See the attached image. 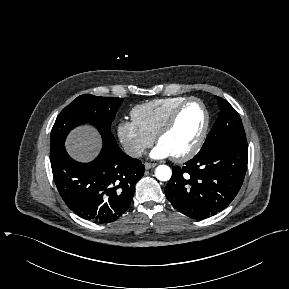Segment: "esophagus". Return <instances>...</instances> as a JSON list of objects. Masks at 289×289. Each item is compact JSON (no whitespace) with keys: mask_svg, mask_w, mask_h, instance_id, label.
Instances as JSON below:
<instances>
[{"mask_svg":"<svg viewBox=\"0 0 289 289\" xmlns=\"http://www.w3.org/2000/svg\"><path fill=\"white\" fill-rule=\"evenodd\" d=\"M144 165H145L146 169H151V168H154L157 164L156 163L146 162Z\"/></svg>","mask_w":289,"mask_h":289,"instance_id":"obj_1","label":"esophagus"}]
</instances>
